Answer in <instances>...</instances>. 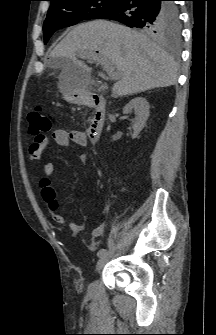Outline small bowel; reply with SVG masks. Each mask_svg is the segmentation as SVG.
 <instances>
[{"label":"small bowel","mask_w":216,"mask_h":335,"mask_svg":"<svg viewBox=\"0 0 216 335\" xmlns=\"http://www.w3.org/2000/svg\"><path fill=\"white\" fill-rule=\"evenodd\" d=\"M52 138L54 142L62 147L72 148V149H84L87 147V137L83 131L78 130H65V129H55L52 132ZM48 140L44 136L41 140H33L28 148V155L31 160H38L43 155V152L47 146ZM54 173V164L52 162H46L43 166V176L41 178V194L46 187L50 188V179ZM42 198L47 206L48 211L52 215L54 221L60 225L64 224V217L59 214L52 201H47ZM69 227L73 233H79L83 230V225L70 222ZM105 230L104 223L98 224L92 230V240L89 243V248H95L97 239L103 234Z\"/></svg>","instance_id":"small-bowel-1"}]
</instances>
